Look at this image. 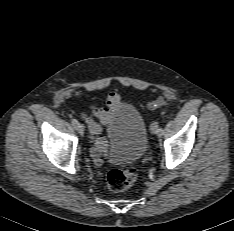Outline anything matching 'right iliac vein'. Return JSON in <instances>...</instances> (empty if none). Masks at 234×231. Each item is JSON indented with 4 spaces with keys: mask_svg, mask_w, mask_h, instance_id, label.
Segmentation results:
<instances>
[{
    "mask_svg": "<svg viewBox=\"0 0 234 231\" xmlns=\"http://www.w3.org/2000/svg\"><path fill=\"white\" fill-rule=\"evenodd\" d=\"M77 131H78V133L81 136H83V134H84V127L82 125H79L78 128H77Z\"/></svg>",
    "mask_w": 234,
    "mask_h": 231,
    "instance_id": "1",
    "label": "right iliac vein"
}]
</instances>
